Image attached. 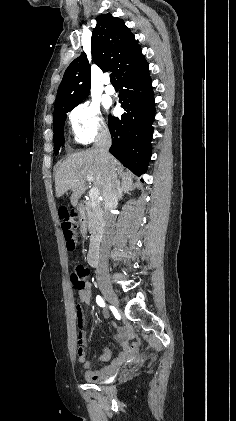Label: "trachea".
<instances>
[{
  "mask_svg": "<svg viewBox=\"0 0 236 421\" xmlns=\"http://www.w3.org/2000/svg\"><path fill=\"white\" fill-rule=\"evenodd\" d=\"M110 80H111V83H117V80H116V78H115L114 73H111V75H110Z\"/></svg>",
  "mask_w": 236,
  "mask_h": 421,
  "instance_id": "1",
  "label": "trachea"
}]
</instances>
